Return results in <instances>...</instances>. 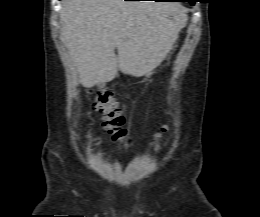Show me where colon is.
Segmentation results:
<instances>
[{
    "label": "colon",
    "mask_w": 260,
    "mask_h": 217,
    "mask_svg": "<svg viewBox=\"0 0 260 217\" xmlns=\"http://www.w3.org/2000/svg\"><path fill=\"white\" fill-rule=\"evenodd\" d=\"M92 107L102 114L103 124L109 131L112 140L123 148H127L130 144V138L124 127L125 120L111 92L107 90L97 91L94 94ZM167 131L168 126L165 125L157 136L161 137Z\"/></svg>",
    "instance_id": "obj_1"
}]
</instances>
